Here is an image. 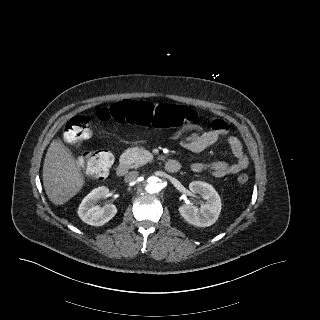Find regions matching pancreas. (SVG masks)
<instances>
[{
	"label": "pancreas",
	"mask_w": 320,
	"mask_h": 320,
	"mask_svg": "<svg viewBox=\"0 0 320 320\" xmlns=\"http://www.w3.org/2000/svg\"><path fill=\"white\" fill-rule=\"evenodd\" d=\"M147 152L137 147L128 148L120 156V162L128 168H138L147 163Z\"/></svg>",
	"instance_id": "cf45deb5"
}]
</instances>
